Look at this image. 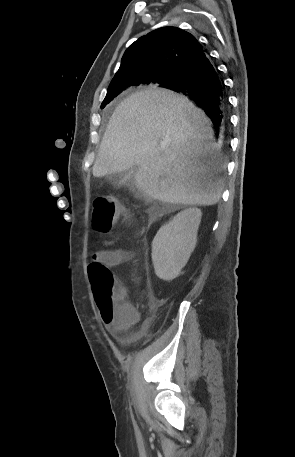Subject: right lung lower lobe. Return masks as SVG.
I'll list each match as a JSON object with an SVG mask.
<instances>
[{
  "label": "right lung lower lobe",
  "instance_id": "obj_1",
  "mask_svg": "<svg viewBox=\"0 0 295 457\" xmlns=\"http://www.w3.org/2000/svg\"><path fill=\"white\" fill-rule=\"evenodd\" d=\"M161 87L182 93L201 107L218 130L227 122L228 101L224 83L209 56L202 53L187 63L172 81ZM218 136V133L216 134Z\"/></svg>",
  "mask_w": 295,
  "mask_h": 457
}]
</instances>
